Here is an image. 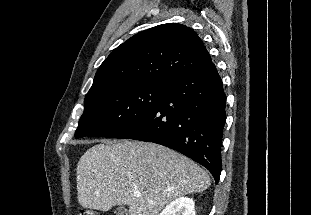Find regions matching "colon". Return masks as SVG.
Wrapping results in <instances>:
<instances>
[{
    "instance_id": "1",
    "label": "colon",
    "mask_w": 311,
    "mask_h": 215,
    "mask_svg": "<svg viewBox=\"0 0 311 215\" xmlns=\"http://www.w3.org/2000/svg\"><path fill=\"white\" fill-rule=\"evenodd\" d=\"M79 215H96L92 210L89 209H82Z\"/></svg>"
}]
</instances>
